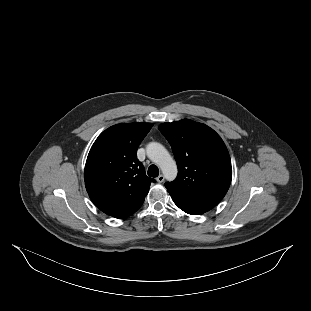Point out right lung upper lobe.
Returning <instances> with one entry per match:
<instances>
[{"label":"right lung upper lobe","instance_id":"cb5924a9","mask_svg":"<svg viewBox=\"0 0 311 311\" xmlns=\"http://www.w3.org/2000/svg\"><path fill=\"white\" fill-rule=\"evenodd\" d=\"M152 123H125L103 131L87 157L84 179L92 202L104 213L127 218L136 212L154 179L145 174L137 148Z\"/></svg>","mask_w":311,"mask_h":311}]
</instances>
